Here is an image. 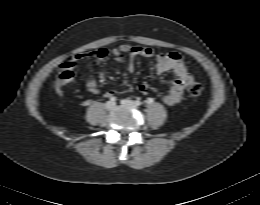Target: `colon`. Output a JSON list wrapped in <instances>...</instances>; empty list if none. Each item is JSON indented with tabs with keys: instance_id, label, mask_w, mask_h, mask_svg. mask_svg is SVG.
<instances>
[{
	"instance_id": "colon-1",
	"label": "colon",
	"mask_w": 260,
	"mask_h": 205,
	"mask_svg": "<svg viewBox=\"0 0 260 205\" xmlns=\"http://www.w3.org/2000/svg\"><path fill=\"white\" fill-rule=\"evenodd\" d=\"M88 56H90V57H99L98 51L93 52V53L89 54ZM188 92L192 96H199L203 92V86H202V84H200L198 82L192 83L189 86V88H188Z\"/></svg>"
}]
</instances>
